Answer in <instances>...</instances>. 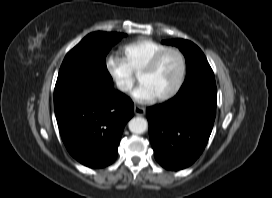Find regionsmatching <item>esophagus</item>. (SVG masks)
Segmentation results:
<instances>
[{
    "label": "esophagus",
    "mask_w": 272,
    "mask_h": 198,
    "mask_svg": "<svg viewBox=\"0 0 272 198\" xmlns=\"http://www.w3.org/2000/svg\"><path fill=\"white\" fill-rule=\"evenodd\" d=\"M134 114L137 116H143L145 114V109L140 106H134Z\"/></svg>",
    "instance_id": "obj_1"
}]
</instances>
